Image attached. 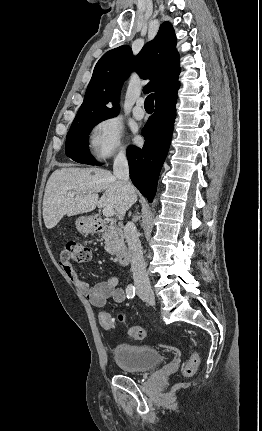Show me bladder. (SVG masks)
Masks as SVG:
<instances>
[{
  "instance_id": "1",
  "label": "bladder",
  "mask_w": 262,
  "mask_h": 431,
  "mask_svg": "<svg viewBox=\"0 0 262 431\" xmlns=\"http://www.w3.org/2000/svg\"><path fill=\"white\" fill-rule=\"evenodd\" d=\"M115 360L121 370L140 373L159 366L163 353L151 345L123 343L115 348Z\"/></svg>"
}]
</instances>
